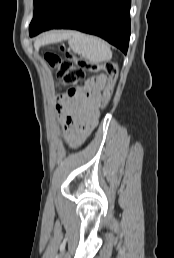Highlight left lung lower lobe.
<instances>
[{"label": "left lung lower lobe", "mask_w": 174, "mask_h": 258, "mask_svg": "<svg viewBox=\"0 0 174 258\" xmlns=\"http://www.w3.org/2000/svg\"><path fill=\"white\" fill-rule=\"evenodd\" d=\"M131 0H58L42 23L30 33L75 29L97 35L127 53Z\"/></svg>", "instance_id": "left-lung-lower-lobe-1"}]
</instances>
